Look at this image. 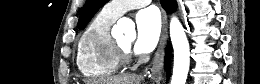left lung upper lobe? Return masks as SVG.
Returning a JSON list of instances; mask_svg holds the SVG:
<instances>
[{
    "label": "left lung upper lobe",
    "mask_w": 260,
    "mask_h": 84,
    "mask_svg": "<svg viewBox=\"0 0 260 84\" xmlns=\"http://www.w3.org/2000/svg\"><path fill=\"white\" fill-rule=\"evenodd\" d=\"M108 0H86L85 5L83 6L79 21L78 28L84 29L87 23L92 19L95 13L101 8Z\"/></svg>",
    "instance_id": "1"
}]
</instances>
